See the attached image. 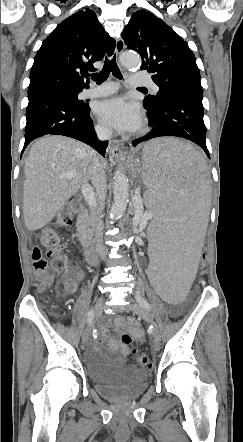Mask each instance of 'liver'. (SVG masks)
I'll return each mask as SVG.
<instances>
[{
  "instance_id": "1",
  "label": "liver",
  "mask_w": 243,
  "mask_h": 442,
  "mask_svg": "<svg viewBox=\"0 0 243 442\" xmlns=\"http://www.w3.org/2000/svg\"><path fill=\"white\" fill-rule=\"evenodd\" d=\"M96 152L75 139L49 135L31 147L24 171L23 216L28 230L36 231L50 223L80 188L92 177ZM103 167L107 162L101 159ZM73 171L72 179L60 178Z\"/></svg>"
}]
</instances>
